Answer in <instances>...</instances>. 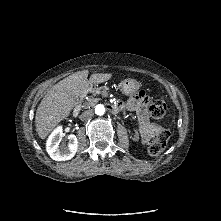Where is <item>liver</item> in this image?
I'll return each instance as SVG.
<instances>
[{"mask_svg": "<svg viewBox=\"0 0 221 221\" xmlns=\"http://www.w3.org/2000/svg\"><path fill=\"white\" fill-rule=\"evenodd\" d=\"M88 70L78 71L55 84L41 100L35 115L36 132L45 139L58 124L66 119L76 104V99L87 93L90 85L111 79L110 73H95L88 80Z\"/></svg>", "mask_w": 221, "mask_h": 221, "instance_id": "1", "label": "liver"}]
</instances>
